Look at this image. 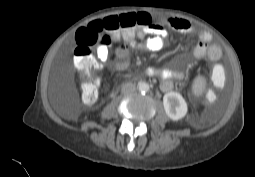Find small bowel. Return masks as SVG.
Instances as JSON below:
<instances>
[{
	"label": "small bowel",
	"instance_id": "small-bowel-1",
	"mask_svg": "<svg viewBox=\"0 0 255 177\" xmlns=\"http://www.w3.org/2000/svg\"><path fill=\"white\" fill-rule=\"evenodd\" d=\"M170 27L180 33H195L199 39L192 47L193 55L196 59L202 60L208 58L211 62L216 63L221 58V49L210 44L211 34L206 30H198L190 21L179 17H161L150 27L140 31L134 36L128 37L125 43L115 50L114 68L124 70L129 64L131 49L140 45L149 51H160L164 48L167 37V28ZM110 57V46H102L97 49L96 64L99 66L105 63ZM148 76L160 77V87L163 91L173 89V80H181L183 74L174 69H157L148 68Z\"/></svg>",
	"mask_w": 255,
	"mask_h": 177
}]
</instances>
